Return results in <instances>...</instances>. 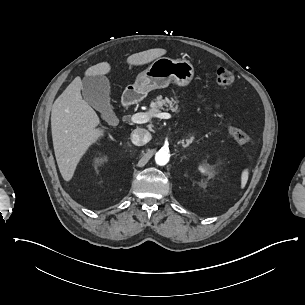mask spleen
Here are the masks:
<instances>
[{"mask_svg":"<svg viewBox=\"0 0 305 305\" xmlns=\"http://www.w3.org/2000/svg\"><path fill=\"white\" fill-rule=\"evenodd\" d=\"M248 170L245 169L243 170L242 174H241V188H244L247 181H248Z\"/></svg>","mask_w":305,"mask_h":305,"instance_id":"obj_1","label":"spleen"}]
</instances>
